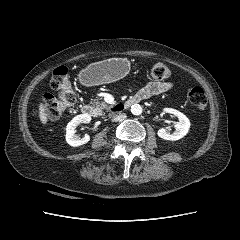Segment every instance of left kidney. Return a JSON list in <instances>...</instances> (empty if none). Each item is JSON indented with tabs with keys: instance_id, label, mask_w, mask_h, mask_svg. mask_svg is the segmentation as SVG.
<instances>
[{
	"instance_id": "obj_1",
	"label": "left kidney",
	"mask_w": 240,
	"mask_h": 240,
	"mask_svg": "<svg viewBox=\"0 0 240 240\" xmlns=\"http://www.w3.org/2000/svg\"><path fill=\"white\" fill-rule=\"evenodd\" d=\"M164 112L173 114L178 118V122L174 126L176 131L173 134H170L165 129L162 128L158 130L157 132L158 136L168 141H176L184 137L188 133L191 125L186 115L172 108H165Z\"/></svg>"
}]
</instances>
